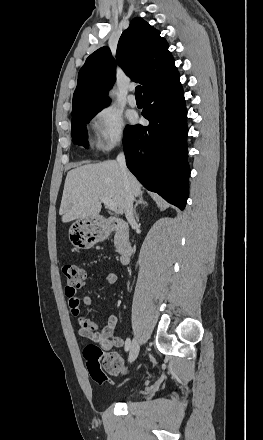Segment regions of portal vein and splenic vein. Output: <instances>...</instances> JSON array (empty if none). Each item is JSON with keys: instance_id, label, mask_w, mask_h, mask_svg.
I'll return each instance as SVG.
<instances>
[{"instance_id": "portal-vein-and-splenic-vein-1", "label": "portal vein and splenic vein", "mask_w": 263, "mask_h": 440, "mask_svg": "<svg viewBox=\"0 0 263 440\" xmlns=\"http://www.w3.org/2000/svg\"><path fill=\"white\" fill-rule=\"evenodd\" d=\"M100 199L104 203V205L107 209H109L111 211H117V205L112 199H110L108 197H101Z\"/></svg>"}]
</instances>
